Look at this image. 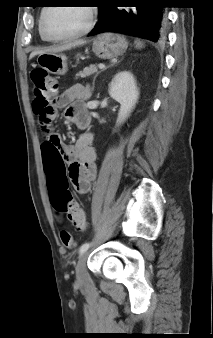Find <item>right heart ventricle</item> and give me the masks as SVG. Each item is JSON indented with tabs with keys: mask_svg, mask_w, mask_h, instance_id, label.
I'll return each instance as SVG.
<instances>
[{
	"mask_svg": "<svg viewBox=\"0 0 213 338\" xmlns=\"http://www.w3.org/2000/svg\"><path fill=\"white\" fill-rule=\"evenodd\" d=\"M46 8H43L39 14V22H38V25H39V28H40V20H41V17H42V14L44 13Z\"/></svg>",
	"mask_w": 213,
	"mask_h": 338,
	"instance_id": "obj_1",
	"label": "right heart ventricle"
}]
</instances>
